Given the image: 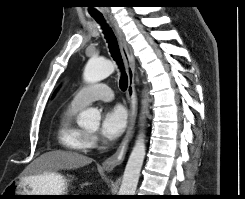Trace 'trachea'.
<instances>
[{
  "mask_svg": "<svg viewBox=\"0 0 245 199\" xmlns=\"http://www.w3.org/2000/svg\"><path fill=\"white\" fill-rule=\"evenodd\" d=\"M93 17L95 18V20L97 22H99L101 24L104 22L101 15H97V16H93ZM103 28H104L105 37H106L107 42L109 44V49H110L111 55L116 60V62L118 63L120 69L123 70V61H122V58L120 55V51L118 48L116 38H115V36H114V34L110 28H108L106 25H104ZM119 86H120V89L122 91H125L128 87V77L125 73L122 74V76L119 80Z\"/></svg>",
  "mask_w": 245,
  "mask_h": 199,
  "instance_id": "obj_1",
  "label": "trachea"
}]
</instances>
